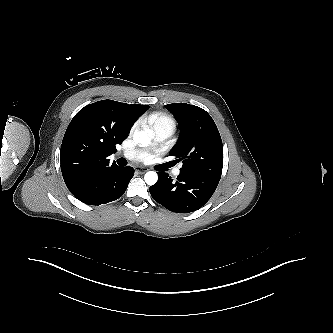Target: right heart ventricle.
Returning a JSON list of instances; mask_svg holds the SVG:
<instances>
[{
    "instance_id": "right-heart-ventricle-1",
    "label": "right heart ventricle",
    "mask_w": 333,
    "mask_h": 333,
    "mask_svg": "<svg viewBox=\"0 0 333 333\" xmlns=\"http://www.w3.org/2000/svg\"><path fill=\"white\" fill-rule=\"evenodd\" d=\"M149 122L151 123L152 127L155 129L159 126L169 125L174 127V120L163 113H156L150 116Z\"/></svg>"
}]
</instances>
